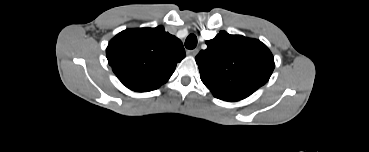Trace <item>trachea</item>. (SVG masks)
Instances as JSON below:
<instances>
[{"instance_id":"obj_1","label":"trachea","mask_w":369,"mask_h":152,"mask_svg":"<svg viewBox=\"0 0 369 152\" xmlns=\"http://www.w3.org/2000/svg\"><path fill=\"white\" fill-rule=\"evenodd\" d=\"M196 46H197V37H196V35H195V34H190V35L187 37L186 41H185V47H186L187 49L192 50V49H194Z\"/></svg>"}]
</instances>
